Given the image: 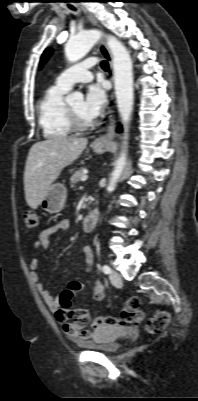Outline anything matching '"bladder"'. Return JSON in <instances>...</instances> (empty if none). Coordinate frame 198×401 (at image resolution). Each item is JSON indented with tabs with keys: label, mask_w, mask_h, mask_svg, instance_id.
<instances>
[{
	"label": "bladder",
	"mask_w": 198,
	"mask_h": 401,
	"mask_svg": "<svg viewBox=\"0 0 198 401\" xmlns=\"http://www.w3.org/2000/svg\"><path fill=\"white\" fill-rule=\"evenodd\" d=\"M122 332L121 327L105 326L93 340L86 342L84 347L97 352L116 353L120 347L117 339Z\"/></svg>",
	"instance_id": "obj_1"
}]
</instances>
